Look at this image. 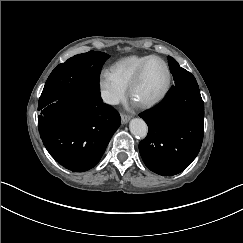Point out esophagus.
Segmentation results:
<instances>
[{
    "label": "esophagus",
    "mask_w": 243,
    "mask_h": 243,
    "mask_svg": "<svg viewBox=\"0 0 243 243\" xmlns=\"http://www.w3.org/2000/svg\"><path fill=\"white\" fill-rule=\"evenodd\" d=\"M121 121H122V124H127L130 121V116L122 115Z\"/></svg>",
    "instance_id": "34e87169"
}]
</instances>
